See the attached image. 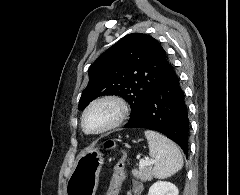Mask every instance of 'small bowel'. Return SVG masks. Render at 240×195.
<instances>
[{"label": "small bowel", "instance_id": "obj_1", "mask_svg": "<svg viewBox=\"0 0 240 195\" xmlns=\"http://www.w3.org/2000/svg\"><path fill=\"white\" fill-rule=\"evenodd\" d=\"M144 186L139 180H132L126 195H142Z\"/></svg>", "mask_w": 240, "mask_h": 195}]
</instances>
